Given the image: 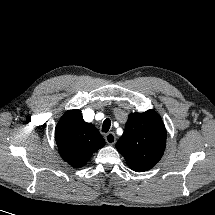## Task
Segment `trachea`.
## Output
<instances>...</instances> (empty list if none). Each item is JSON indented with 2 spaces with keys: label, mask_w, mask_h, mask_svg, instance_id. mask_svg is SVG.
I'll list each match as a JSON object with an SVG mask.
<instances>
[{
  "label": "trachea",
  "mask_w": 215,
  "mask_h": 215,
  "mask_svg": "<svg viewBox=\"0 0 215 215\" xmlns=\"http://www.w3.org/2000/svg\"><path fill=\"white\" fill-rule=\"evenodd\" d=\"M111 126V121L110 119H105L102 125V132H108Z\"/></svg>",
  "instance_id": "3493384b"
}]
</instances>
